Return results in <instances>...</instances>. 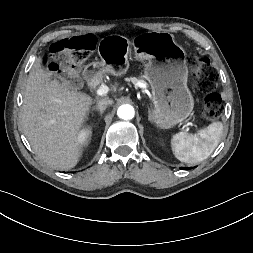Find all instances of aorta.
Listing matches in <instances>:
<instances>
[{
    "label": "aorta",
    "mask_w": 253,
    "mask_h": 253,
    "mask_svg": "<svg viewBox=\"0 0 253 253\" xmlns=\"http://www.w3.org/2000/svg\"><path fill=\"white\" fill-rule=\"evenodd\" d=\"M134 114V108L129 104L121 105L117 111L118 117L124 120L132 119L134 117Z\"/></svg>",
    "instance_id": "aorta-1"
}]
</instances>
